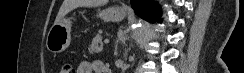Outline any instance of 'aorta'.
<instances>
[{
    "mask_svg": "<svg viewBox=\"0 0 244 73\" xmlns=\"http://www.w3.org/2000/svg\"><path fill=\"white\" fill-rule=\"evenodd\" d=\"M137 27H139V25H138V24H136V25H135V31L137 30Z\"/></svg>",
    "mask_w": 244,
    "mask_h": 73,
    "instance_id": "aorta-1",
    "label": "aorta"
}]
</instances>
